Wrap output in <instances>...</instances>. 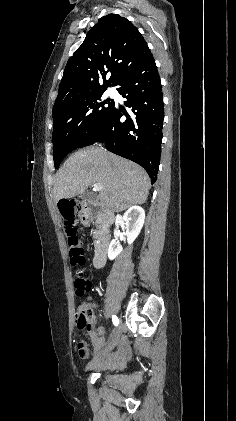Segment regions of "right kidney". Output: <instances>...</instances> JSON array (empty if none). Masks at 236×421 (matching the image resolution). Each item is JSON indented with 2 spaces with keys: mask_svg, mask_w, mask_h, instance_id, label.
Returning <instances> with one entry per match:
<instances>
[{
  "mask_svg": "<svg viewBox=\"0 0 236 421\" xmlns=\"http://www.w3.org/2000/svg\"><path fill=\"white\" fill-rule=\"evenodd\" d=\"M124 221V229L126 231V237H127V243L128 245H131L133 241H135L136 237H138L145 221V211L142 206H138V204H135V206H130L128 208V211L124 213L123 219ZM123 249L118 243L117 239H113L109 245L108 249V259L110 261H113V259H116L117 255H120L122 253Z\"/></svg>",
  "mask_w": 236,
  "mask_h": 421,
  "instance_id": "right-kidney-1",
  "label": "right kidney"
}]
</instances>
